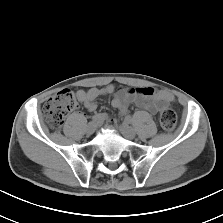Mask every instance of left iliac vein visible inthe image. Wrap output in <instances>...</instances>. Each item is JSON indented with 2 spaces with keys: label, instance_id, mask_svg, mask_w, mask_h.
I'll list each match as a JSON object with an SVG mask.
<instances>
[{
  "label": "left iliac vein",
  "instance_id": "obj_1",
  "mask_svg": "<svg viewBox=\"0 0 223 223\" xmlns=\"http://www.w3.org/2000/svg\"><path fill=\"white\" fill-rule=\"evenodd\" d=\"M119 129L121 133L127 138V139H134L136 137L135 130L125 121L120 126Z\"/></svg>",
  "mask_w": 223,
  "mask_h": 223
}]
</instances>
